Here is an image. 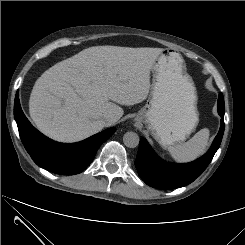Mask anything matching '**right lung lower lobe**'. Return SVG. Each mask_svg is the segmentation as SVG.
Masks as SVG:
<instances>
[{
  "mask_svg": "<svg viewBox=\"0 0 245 245\" xmlns=\"http://www.w3.org/2000/svg\"><path fill=\"white\" fill-rule=\"evenodd\" d=\"M14 118L21 140L34 162L41 168L63 175H74L86 169L100 145L116 130L109 128L72 144L55 142L31 125L21 109L18 93L14 103Z\"/></svg>",
  "mask_w": 245,
  "mask_h": 245,
  "instance_id": "98d812e1",
  "label": "right lung lower lobe"
}]
</instances>
